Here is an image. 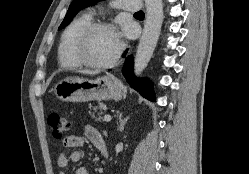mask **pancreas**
Wrapping results in <instances>:
<instances>
[{
    "mask_svg": "<svg viewBox=\"0 0 249 174\" xmlns=\"http://www.w3.org/2000/svg\"><path fill=\"white\" fill-rule=\"evenodd\" d=\"M104 108H105V105L103 103H98V105H96V106L90 105V109H93L95 112H97L98 110L102 111ZM90 113H91V111H90ZM101 114H102V112L98 113V118H96L97 121H100ZM93 116H94V113H93Z\"/></svg>",
    "mask_w": 249,
    "mask_h": 174,
    "instance_id": "obj_1",
    "label": "pancreas"
}]
</instances>
